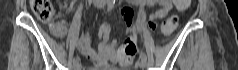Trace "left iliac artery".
Segmentation results:
<instances>
[{"mask_svg":"<svg viewBox=\"0 0 238 70\" xmlns=\"http://www.w3.org/2000/svg\"><path fill=\"white\" fill-rule=\"evenodd\" d=\"M140 58L145 61L147 60L146 54L144 52H141Z\"/></svg>","mask_w":238,"mask_h":70,"instance_id":"obj_1","label":"left iliac artery"}]
</instances>
